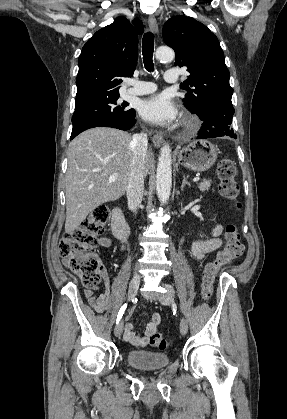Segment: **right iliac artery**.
<instances>
[{"label":"right iliac artery","instance_id":"obj_1","mask_svg":"<svg viewBox=\"0 0 287 419\" xmlns=\"http://www.w3.org/2000/svg\"><path fill=\"white\" fill-rule=\"evenodd\" d=\"M126 308H127V304H124V305L120 308V310H119V312H118V315H117V322H116V323H118V322H119V320L122 318V316H123V314H124V312H125Z\"/></svg>","mask_w":287,"mask_h":419}]
</instances>
